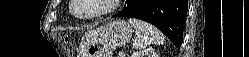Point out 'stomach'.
I'll use <instances>...</instances> for the list:
<instances>
[{"instance_id": "stomach-1", "label": "stomach", "mask_w": 249, "mask_h": 57, "mask_svg": "<svg viewBox=\"0 0 249 57\" xmlns=\"http://www.w3.org/2000/svg\"><path fill=\"white\" fill-rule=\"evenodd\" d=\"M132 33V27L123 19L92 30L82 41V57H112L113 50L128 43Z\"/></svg>"}]
</instances>
